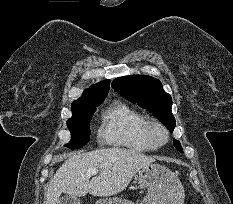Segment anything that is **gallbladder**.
<instances>
[{
	"mask_svg": "<svg viewBox=\"0 0 233 204\" xmlns=\"http://www.w3.org/2000/svg\"><path fill=\"white\" fill-rule=\"evenodd\" d=\"M58 204H81V200L74 196L66 195L59 200Z\"/></svg>",
	"mask_w": 233,
	"mask_h": 204,
	"instance_id": "bac80fb5",
	"label": "gallbladder"
}]
</instances>
